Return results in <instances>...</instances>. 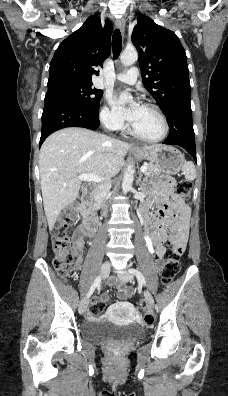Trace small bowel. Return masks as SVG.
Segmentation results:
<instances>
[{"label":"small bowel","instance_id":"obj_1","mask_svg":"<svg viewBox=\"0 0 228 396\" xmlns=\"http://www.w3.org/2000/svg\"><path fill=\"white\" fill-rule=\"evenodd\" d=\"M167 178L161 177L158 180L151 181L152 188L158 192V201L160 206L151 211V214L157 219V227L150 231V237L153 244L156 246L155 258L160 261L164 255V232L169 229L172 233L175 248L184 250L188 240L189 233V210L188 208L177 198L173 197L170 201L167 187ZM84 231L79 230L78 236L75 242V252L79 256L84 249ZM79 260V259H78ZM110 283L118 288V295L121 300L129 297L132 294L131 289L125 286L123 283L117 281L115 278L110 280ZM109 301V296L103 293L100 296V302L106 304ZM123 302L113 306V308L122 305ZM88 318H91L89 312Z\"/></svg>","mask_w":228,"mask_h":396}]
</instances>
